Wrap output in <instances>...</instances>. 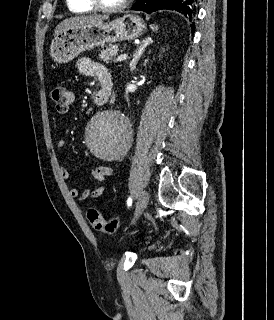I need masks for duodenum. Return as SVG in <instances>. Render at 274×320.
I'll return each mask as SVG.
<instances>
[{
  "label": "duodenum",
  "instance_id": "1",
  "mask_svg": "<svg viewBox=\"0 0 274 320\" xmlns=\"http://www.w3.org/2000/svg\"><path fill=\"white\" fill-rule=\"evenodd\" d=\"M109 101V94L104 91L98 92L93 98V103L96 105L105 104Z\"/></svg>",
  "mask_w": 274,
  "mask_h": 320
}]
</instances>
